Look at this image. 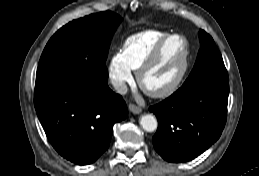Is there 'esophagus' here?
Instances as JSON below:
<instances>
[{
	"label": "esophagus",
	"mask_w": 259,
	"mask_h": 176,
	"mask_svg": "<svg viewBox=\"0 0 259 176\" xmlns=\"http://www.w3.org/2000/svg\"><path fill=\"white\" fill-rule=\"evenodd\" d=\"M129 109H130V111L132 112V113H134V114H139V113H141V108L140 107H138L137 105H135V104H130L129 105Z\"/></svg>",
	"instance_id": "obj_1"
}]
</instances>
